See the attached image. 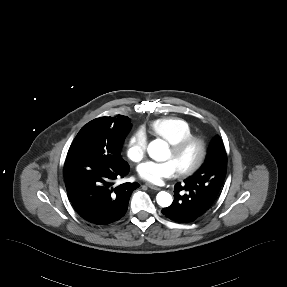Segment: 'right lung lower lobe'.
Masks as SVG:
<instances>
[{
	"label": "right lung lower lobe",
	"instance_id": "1",
	"mask_svg": "<svg viewBox=\"0 0 287 287\" xmlns=\"http://www.w3.org/2000/svg\"><path fill=\"white\" fill-rule=\"evenodd\" d=\"M129 173L122 158L110 160L94 153L67 155L64 178L67 196L75 211L95 225H107L122 218L137 182L114 185Z\"/></svg>",
	"mask_w": 287,
	"mask_h": 287
}]
</instances>
